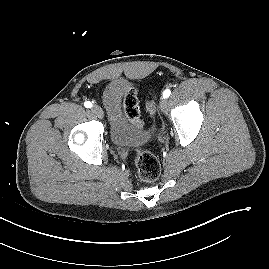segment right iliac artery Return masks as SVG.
Returning <instances> with one entry per match:
<instances>
[{
    "instance_id": "82829eb1",
    "label": "right iliac artery",
    "mask_w": 269,
    "mask_h": 269,
    "mask_svg": "<svg viewBox=\"0 0 269 269\" xmlns=\"http://www.w3.org/2000/svg\"><path fill=\"white\" fill-rule=\"evenodd\" d=\"M84 106H85L86 108H91V107H92V103L89 102V101H86V102L84 103Z\"/></svg>"
}]
</instances>
